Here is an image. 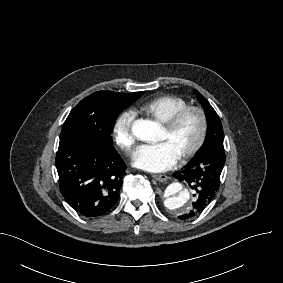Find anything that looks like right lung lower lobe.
Here are the masks:
<instances>
[{
  "instance_id": "right-lung-lower-lobe-1",
  "label": "right lung lower lobe",
  "mask_w": 283,
  "mask_h": 283,
  "mask_svg": "<svg viewBox=\"0 0 283 283\" xmlns=\"http://www.w3.org/2000/svg\"><path fill=\"white\" fill-rule=\"evenodd\" d=\"M55 164L60 192L79 215L99 217L116 204L126 166L113 145L83 136L61 138Z\"/></svg>"
}]
</instances>
